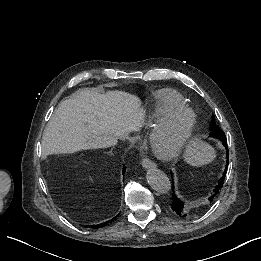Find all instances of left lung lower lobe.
Wrapping results in <instances>:
<instances>
[{"label": "left lung lower lobe", "instance_id": "0a47b994", "mask_svg": "<svg viewBox=\"0 0 261 261\" xmlns=\"http://www.w3.org/2000/svg\"><path fill=\"white\" fill-rule=\"evenodd\" d=\"M225 146V148L228 151V146H227V142L223 144ZM228 157V154H227ZM228 166V159H227V165ZM225 175H226V171H224L223 176L220 178L219 180V184L218 186H216V188L214 189V193L213 195L209 198V201H212L214 199V197L216 196V194L219 192V190L222 188L223 183H224V179H225ZM171 209L172 212L180 217H186L187 214L189 213V208L185 206L184 202L182 200H180L175 194H173V198H172V205H171Z\"/></svg>", "mask_w": 261, "mask_h": 261}]
</instances>
